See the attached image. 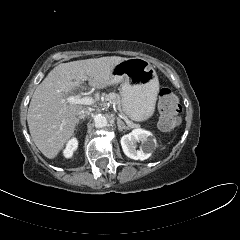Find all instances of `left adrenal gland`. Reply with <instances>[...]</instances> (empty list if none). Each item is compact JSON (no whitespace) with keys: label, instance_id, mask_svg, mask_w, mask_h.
Here are the masks:
<instances>
[{"label":"left adrenal gland","instance_id":"1","mask_svg":"<svg viewBox=\"0 0 240 240\" xmlns=\"http://www.w3.org/2000/svg\"><path fill=\"white\" fill-rule=\"evenodd\" d=\"M117 125H118V130H119V131H123V129H126V130L129 129V127L126 126V125L124 124V122L121 121L120 118H117Z\"/></svg>","mask_w":240,"mask_h":240}]
</instances>
